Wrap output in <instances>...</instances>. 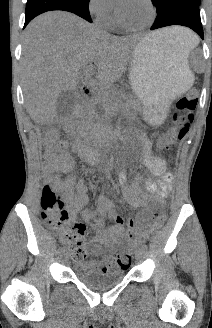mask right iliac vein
<instances>
[{
  "label": "right iliac vein",
  "mask_w": 212,
  "mask_h": 328,
  "mask_svg": "<svg viewBox=\"0 0 212 328\" xmlns=\"http://www.w3.org/2000/svg\"><path fill=\"white\" fill-rule=\"evenodd\" d=\"M62 257H63L64 261H67L68 260V255L65 252L62 254Z\"/></svg>",
  "instance_id": "63e3f726"
}]
</instances>
